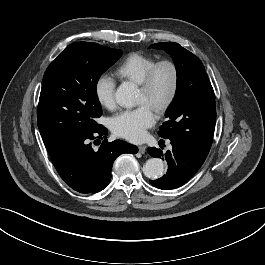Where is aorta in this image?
I'll use <instances>...</instances> for the list:
<instances>
[{"label": "aorta", "instance_id": "762f6f07", "mask_svg": "<svg viewBox=\"0 0 265 265\" xmlns=\"http://www.w3.org/2000/svg\"><path fill=\"white\" fill-rule=\"evenodd\" d=\"M117 104L122 107H133L138 103V89L129 82L121 84L115 93ZM143 173L150 179H158L164 173V163L159 158H150L143 166Z\"/></svg>", "mask_w": 265, "mask_h": 265}]
</instances>
